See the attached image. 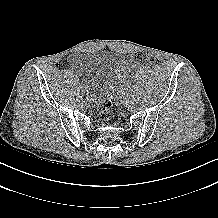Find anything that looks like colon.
<instances>
[{
    "label": "colon",
    "instance_id": "colon-1",
    "mask_svg": "<svg viewBox=\"0 0 218 218\" xmlns=\"http://www.w3.org/2000/svg\"><path fill=\"white\" fill-rule=\"evenodd\" d=\"M133 60L142 65H150L154 62V57L146 51H139L133 55ZM96 113L100 120H110L112 118L111 101L109 99L99 101L96 104Z\"/></svg>",
    "mask_w": 218,
    "mask_h": 218
}]
</instances>
